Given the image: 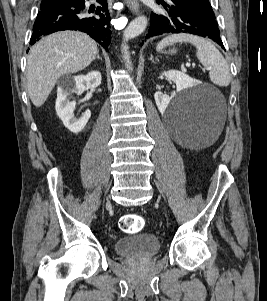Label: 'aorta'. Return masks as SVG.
I'll use <instances>...</instances> for the list:
<instances>
[{
	"mask_svg": "<svg viewBox=\"0 0 267 301\" xmlns=\"http://www.w3.org/2000/svg\"><path fill=\"white\" fill-rule=\"evenodd\" d=\"M148 20L146 16H138L133 21L129 23L127 28L124 30L123 33V43L121 49L124 53H127L128 46L127 42L144 32L146 29ZM126 67L128 70H132V64L129 58L126 59Z\"/></svg>",
	"mask_w": 267,
	"mask_h": 301,
	"instance_id": "aorta-1",
	"label": "aorta"
}]
</instances>
